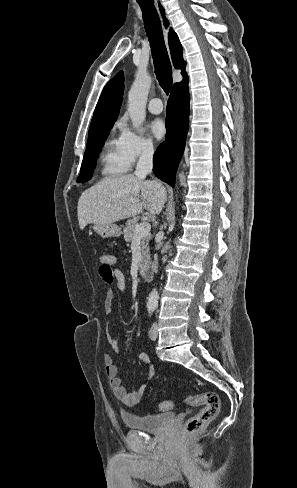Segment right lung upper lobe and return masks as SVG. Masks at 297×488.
Wrapping results in <instances>:
<instances>
[{
    "label": "right lung upper lobe",
    "instance_id": "right-lung-upper-lobe-1",
    "mask_svg": "<svg viewBox=\"0 0 297 488\" xmlns=\"http://www.w3.org/2000/svg\"><path fill=\"white\" fill-rule=\"evenodd\" d=\"M168 41L174 67L182 69L181 74L184 76L185 79L187 78V74L185 71L186 63L183 60L182 46L180 44L178 36L172 29H170ZM123 91L124 75L123 72L120 71L104 87L99 101L96 105L89 132L101 125L114 124L119 114L120 106L123 99Z\"/></svg>",
    "mask_w": 297,
    "mask_h": 488
}]
</instances>
